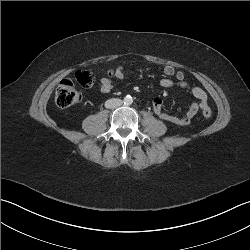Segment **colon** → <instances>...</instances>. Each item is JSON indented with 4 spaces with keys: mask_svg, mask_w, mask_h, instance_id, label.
<instances>
[{
    "mask_svg": "<svg viewBox=\"0 0 250 250\" xmlns=\"http://www.w3.org/2000/svg\"><path fill=\"white\" fill-rule=\"evenodd\" d=\"M77 84L82 87H89L93 83V75L87 71H79L75 75ZM81 100V93L76 89L75 84L70 79H64L60 82L57 90L55 101L61 108H67L75 105ZM202 115L209 119L212 116V110L209 106H206L202 110Z\"/></svg>",
    "mask_w": 250,
    "mask_h": 250,
    "instance_id": "obj_1",
    "label": "colon"
}]
</instances>
